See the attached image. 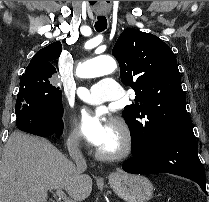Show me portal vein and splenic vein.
Here are the masks:
<instances>
[{"mask_svg": "<svg viewBox=\"0 0 209 202\" xmlns=\"http://www.w3.org/2000/svg\"><path fill=\"white\" fill-rule=\"evenodd\" d=\"M56 195L59 197V199H62L64 202H74L73 200L69 199L65 193L60 188H56Z\"/></svg>", "mask_w": 209, "mask_h": 202, "instance_id": "portal-vein-and-splenic-vein-1", "label": "portal vein and splenic vein"}]
</instances>
